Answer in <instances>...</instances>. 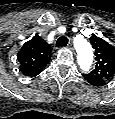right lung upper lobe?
<instances>
[{
    "label": "right lung upper lobe",
    "instance_id": "cb5924a9",
    "mask_svg": "<svg viewBox=\"0 0 115 119\" xmlns=\"http://www.w3.org/2000/svg\"><path fill=\"white\" fill-rule=\"evenodd\" d=\"M51 56V46L39 35H35L18 52L20 71L25 76H37L48 64Z\"/></svg>",
    "mask_w": 115,
    "mask_h": 119
}]
</instances>
